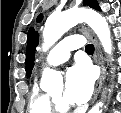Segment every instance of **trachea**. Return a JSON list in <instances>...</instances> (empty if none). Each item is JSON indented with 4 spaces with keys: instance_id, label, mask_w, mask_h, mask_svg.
I'll use <instances>...</instances> for the list:
<instances>
[{
    "instance_id": "1",
    "label": "trachea",
    "mask_w": 121,
    "mask_h": 113,
    "mask_svg": "<svg viewBox=\"0 0 121 113\" xmlns=\"http://www.w3.org/2000/svg\"><path fill=\"white\" fill-rule=\"evenodd\" d=\"M85 50L87 53H93L94 52V46L92 44H87L85 47Z\"/></svg>"
}]
</instances>
